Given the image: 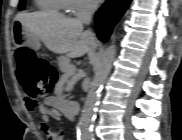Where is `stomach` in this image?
<instances>
[{
	"label": "stomach",
	"mask_w": 182,
	"mask_h": 140,
	"mask_svg": "<svg viewBox=\"0 0 182 140\" xmlns=\"http://www.w3.org/2000/svg\"><path fill=\"white\" fill-rule=\"evenodd\" d=\"M14 27L13 35L16 45H24L34 49L39 48L40 39L35 36V31H25L27 26L23 22H12Z\"/></svg>",
	"instance_id": "stomach-1"
}]
</instances>
